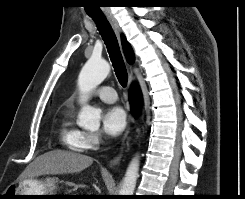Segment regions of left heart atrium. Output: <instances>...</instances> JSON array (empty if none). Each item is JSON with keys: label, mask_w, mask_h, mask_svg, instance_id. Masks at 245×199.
I'll return each mask as SVG.
<instances>
[{"label": "left heart atrium", "mask_w": 245, "mask_h": 199, "mask_svg": "<svg viewBox=\"0 0 245 199\" xmlns=\"http://www.w3.org/2000/svg\"><path fill=\"white\" fill-rule=\"evenodd\" d=\"M125 125L126 114L121 107H109L103 113L102 128L107 135L118 136L124 130Z\"/></svg>", "instance_id": "left-heart-atrium-1"}]
</instances>
